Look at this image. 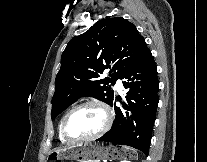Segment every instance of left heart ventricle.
<instances>
[{
	"label": "left heart ventricle",
	"instance_id": "obj_1",
	"mask_svg": "<svg viewBox=\"0 0 207 162\" xmlns=\"http://www.w3.org/2000/svg\"><path fill=\"white\" fill-rule=\"evenodd\" d=\"M104 124V113L97 106H87L75 112L67 121L66 134L82 138L97 133Z\"/></svg>",
	"mask_w": 207,
	"mask_h": 162
}]
</instances>
